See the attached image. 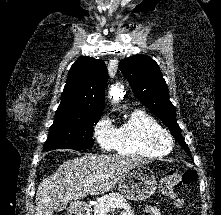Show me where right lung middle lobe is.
Segmentation results:
<instances>
[{
  "label": "right lung middle lobe",
  "mask_w": 221,
  "mask_h": 215,
  "mask_svg": "<svg viewBox=\"0 0 221 215\" xmlns=\"http://www.w3.org/2000/svg\"><path fill=\"white\" fill-rule=\"evenodd\" d=\"M100 116L81 112L56 113L54 123L49 128L45 151L64 148L81 151L92 147L93 126Z\"/></svg>",
  "instance_id": "obj_1"
}]
</instances>
